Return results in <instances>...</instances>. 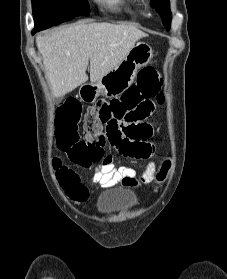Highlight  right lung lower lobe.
Wrapping results in <instances>:
<instances>
[{
	"label": "right lung lower lobe",
	"instance_id": "98d812e1",
	"mask_svg": "<svg viewBox=\"0 0 227 279\" xmlns=\"http://www.w3.org/2000/svg\"><path fill=\"white\" fill-rule=\"evenodd\" d=\"M38 31H40V30L34 28L33 31H32V34L38 32Z\"/></svg>",
	"mask_w": 227,
	"mask_h": 279
}]
</instances>
